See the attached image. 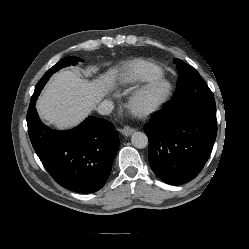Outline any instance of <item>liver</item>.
Wrapping results in <instances>:
<instances>
[{
  "label": "liver",
  "mask_w": 249,
  "mask_h": 249,
  "mask_svg": "<svg viewBox=\"0 0 249 249\" xmlns=\"http://www.w3.org/2000/svg\"><path fill=\"white\" fill-rule=\"evenodd\" d=\"M117 70L96 79H83L70 70L55 74L39 97L40 117L58 129H70L82 122L97 104L114 89Z\"/></svg>",
  "instance_id": "obj_1"
}]
</instances>
